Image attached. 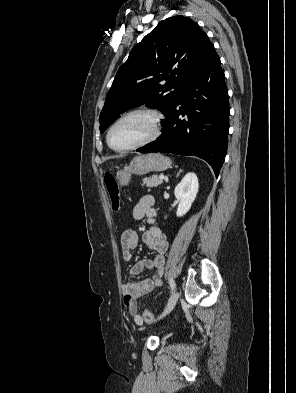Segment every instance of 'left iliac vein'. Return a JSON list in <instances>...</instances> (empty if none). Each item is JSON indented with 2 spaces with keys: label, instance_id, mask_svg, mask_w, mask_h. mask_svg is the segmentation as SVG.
<instances>
[{
  "label": "left iliac vein",
  "instance_id": "obj_1",
  "mask_svg": "<svg viewBox=\"0 0 296 393\" xmlns=\"http://www.w3.org/2000/svg\"><path fill=\"white\" fill-rule=\"evenodd\" d=\"M178 298H179V292L178 291H174L172 293V295L170 296V298H169V300L167 302V305H166L163 313L160 315L159 319L163 318L165 315L169 314L172 311V309L176 305V302H177Z\"/></svg>",
  "mask_w": 296,
  "mask_h": 393
}]
</instances>
